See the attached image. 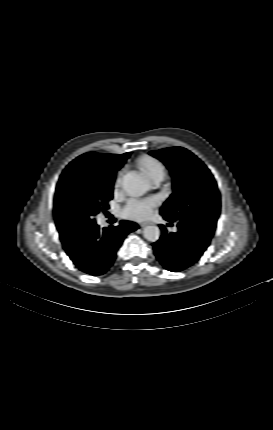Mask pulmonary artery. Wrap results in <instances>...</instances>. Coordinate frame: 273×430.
Here are the masks:
<instances>
[{"label":"pulmonary artery","mask_w":273,"mask_h":430,"mask_svg":"<svg viewBox=\"0 0 273 430\" xmlns=\"http://www.w3.org/2000/svg\"><path fill=\"white\" fill-rule=\"evenodd\" d=\"M163 179V176H157L153 181L155 182V183H159V182H161V180Z\"/></svg>","instance_id":"1"}]
</instances>
